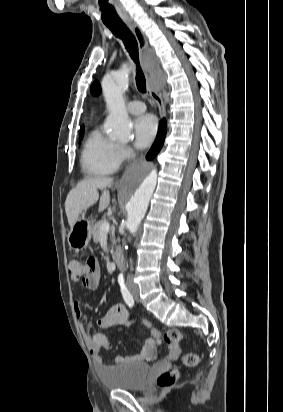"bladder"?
<instances>
[{"label": "bladder", "instance_id": "obj_1", "mask_svg": "<svg viewBox=\"0 0 283 412\" xmlns=\"http://www.w3.org/2000/svg\"><path fill=\"white\" fill-rule=\"evenodd\" d=\"M150 367L146 363H126L108 367L100 374L109 389L134 391L146 386Z\"/></svg>", "mask_w": 283, "mask_h": 412}]
</instances>
